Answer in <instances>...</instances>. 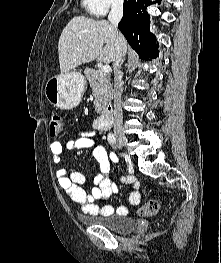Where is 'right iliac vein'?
<instances>
[{
	"label": "right iliac vein",
	"instance_id": "1",
	"mask_svg": "<svg viewBox=\"0 0 221 263\" xmlns=\"http://www.w3.org/2000/svg\"><path fill=\"white\" fill-rule=\"evenodd\" d=\"M117 142L119 146L124 147V148L127 147V139L124 136H118Z\"/></svg>",
	"mask_w": 221,
	"mask_h": 263
}]
</instances>
